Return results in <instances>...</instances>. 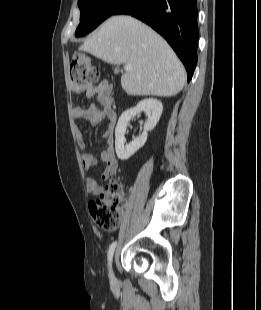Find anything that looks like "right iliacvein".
Here are the masks:
<instances>
[{
    "instance_id": "obj_1",
    "label": "right iliac vein",
    "mask_w": 261,
    "mask_h": 310,
    "mask_svg": "<svg viewBox=\"0 0 261 310\" xmlns=\"http://www.w3.org/2000/svg\"><path fill=\"white\" fill-rule=\"evenodd\" d=\"M110 276H111L112 282H114L115 281V275H114L113 269H111V271H110Z\"/></svg>"
}]
</instances>
